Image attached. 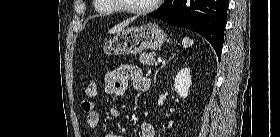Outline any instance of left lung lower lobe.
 Wrapping results in <instances>:
<instances>
[{"mask_svg": "<svg viewBox=\"0 0 280 137\" xmlns=\"http://www.w3.org/2000/svg\"><path fill=\"white\" fill-rule=\"evenodd\" d=\"M228 6L229 0H167L150 16L199 33L220 58Z\"/></svg>", "mask_w": 280, "mask_h": 137, "instance_id": "0a47b994", "label": "left lung lower lobe"}]
</instances>
